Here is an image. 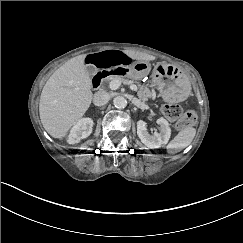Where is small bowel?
Instances as JSON below:
<instances>
[{"instance_id": "obj_1", "label": "small bowel", "mask_w": 243, "mask_h": 243, "mask_svg": "<svg viewBox=\"0 0 243 243\" xmlns=\"http://www.w3.org/2000/svg\"><path fill=\"white\" fill-rule=\"evenodd\" d=\"M85 62L91 66L107 69L130 66L133 63V58L124 51L105 50L86 56Z\"/></svg>"}]
</instances>
